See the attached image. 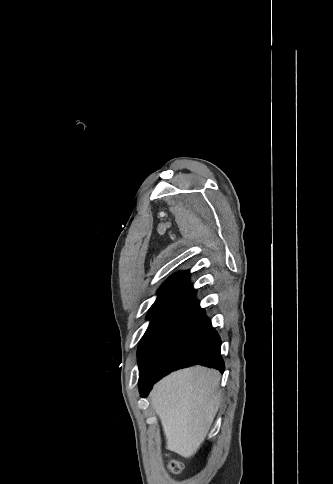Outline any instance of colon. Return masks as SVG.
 Here are the masks:
<instances>
[{"instance_id":"5ec220e1","label":"colon","mask_w":333,"mask_h":484,"mask_svg":"<svg viewBox=\"0 0 333 484\" xmlns=\"http://www.w3.org/2000/svg\"><path fill=\"white\" fill-rule=\"evenodd\" d=\"M169 467H170L171 471L174 472V473H179L182 469L181 463L178 462L177 460H174V459H171L169 461Z\"/></svg>"}]
</instances>
